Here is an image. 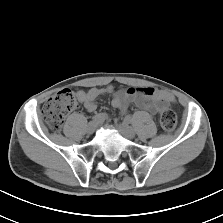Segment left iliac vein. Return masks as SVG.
<instances>
[{"mask_svg":"<svg viewBox=\"0 0 223 223\" xmlns=\"http://www.w3.org/2000/svg\"><path fill=\"white\" fill-rule=\"evenodd\" d=\"M119 129L126 138L133 139L135 137V130L127 123V121L120 123Z\"/></svg>","mask_w":223,"mask_h":223,"instance_id":"left-iliac-vein-1","label":"left iliac vein"}]
</instances>
